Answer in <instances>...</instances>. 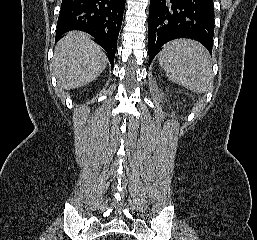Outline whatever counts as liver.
Listing matches in <instances>:
<instances>
[{
    "mask_svg": "<svg viewBox=\"0 0 257 240\" xmlns=\"http://www.w3.org/2000/svg\"><path fill=\"white\" fill-rule=\"evenodd\" d=\"M108 63L100 46L80 31L66 34L56 45L53 70L58 85L70 90L94 81Z\"/></svg>",
    "mask_w": 257,
    "mask_h": 240,
    "instance_id": "6515ba94",
    "label": "liver"
}]
</instances>
